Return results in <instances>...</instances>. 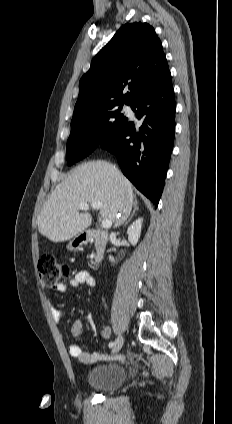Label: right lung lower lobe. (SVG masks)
Returning <instances> with one entry per match:
<instances>
[{
    "label": "right lung lower lobe",
    "mask_w": 232,
    "mask_h": 424,
    "mask_svg": "<svg viewBox=\"0 0 232 424\" xmlns=\"http://www.w3.org/2000/svg\"><path fill=\"white\" fill-rule=\"evenodd\" d=\"M143 120L139 132L127 122L101 146L113 153L124 175L157 207L174 143L175 98L168 71L132 104ZM130 137V138H128Z\"/></svg>",
    "instance_id": "1"
}]
</instances>
